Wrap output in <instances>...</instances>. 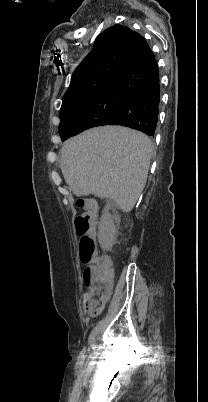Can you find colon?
<instances>
[{
	"mask_svg": "<svg viewBox=\"0 0 208 402\" xmlns=\"http://www.w3.org/2000/svg\"><path fill=\"white\" fill-rule=\"evenodd\" d=\"M92 226L90 214L85 213L82 217L75 219L76 233L80 243L78 254L81 264L86 265L83 273V280L87 281L88 292L84 293L83 306L87 314H100L101 308H105L108 296L112 294L111 280L114 274V267L109 257H104L101 262L95 251L96 234L89 232Z\"/></svg>",
	"mask_w": 208,
	"mask_h": 402,
	"instance_id": "obj_1",
	"label": "colon"
}]
</instances>
